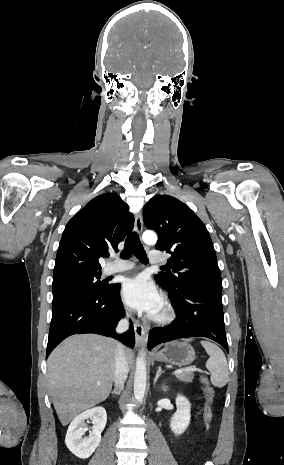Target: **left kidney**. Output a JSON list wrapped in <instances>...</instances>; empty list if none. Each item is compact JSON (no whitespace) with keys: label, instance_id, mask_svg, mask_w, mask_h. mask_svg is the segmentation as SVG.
<instances>
[{"label":"left kidney","instance_id":"obj_1","mask_svg":"<svg viewBox=\"0 0 284 465\" xmlns=\"http://www.w3.org/2000/svg\"><path fill=\"white\" fill-rule=\"evenodd\" d=\"M164 391H166V389H164ZM176 407L177 411L174 413L173 417H171L170 427L173 433L182 435L185 429L189 427L191 405L186 397L178 395V397H176Z\"/></svg>","mask_w":284,"mask_h":465}]
</instances>
